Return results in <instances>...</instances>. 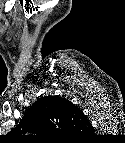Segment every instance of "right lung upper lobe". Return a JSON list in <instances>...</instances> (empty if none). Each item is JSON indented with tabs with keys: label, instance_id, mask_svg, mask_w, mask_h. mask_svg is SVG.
I'll list each match as a JSON object with an SVG mask.
<instances>
[{
	"label": "right lung upper lobe",
	"instance_id": "1",
	"mask_svg": "<svg viewBox=\"0 0 125 143\" xmlns=\"http://www.w3.org/2000/svg\"><path fill=\"white\" fill-rule=\"evenodd\" d=\"M31 124L34 127L61 128L63 131L74 132L86 125L84 114L71 102L57 97H43L30 108ZM59 130V129H57Z\"/></svg>",
	"mask_w": 125,
	"mask_h": 143
}]
</instances>
